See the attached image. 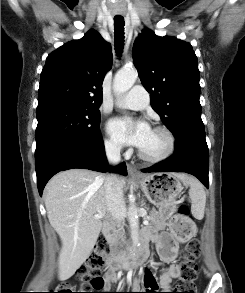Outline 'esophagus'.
<instances>
[{
    "instance_id": "esophagus-1",
    "label": "esophagus",
    "mask_w": 245,
    "mask_h": 293,
    "mask_svg": "<svg viewBox=\"0 0 245 293\" xmlns=\"http://www.w3.org/2000/svg\"><path fill=\"white\" fill-rule=\"evenodd\" d=\"M128 173L130 176H138L139 175V172L137 170L136 167L132 166V165H128Z\"/></svg>"
}]
</instances>
